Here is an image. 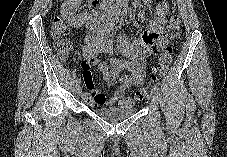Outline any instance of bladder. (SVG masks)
Returning <instances> with one entry per match:
<instances>
[{"label":"bladder","instance_id":"31cf9c89","mask_svg":"<svg viewBox=\"0 0 227 157\" xmlns=\"http://www.w3.org/2000/svg\"><path fill=\"white\" fill-rule=\"evenodd\" d=\"M93 111L103 120L116 122L133 116L137 110L131 107H99L95 108Z\"/></svg>","mask_w":227,"mask_h":157}]
</instances>
